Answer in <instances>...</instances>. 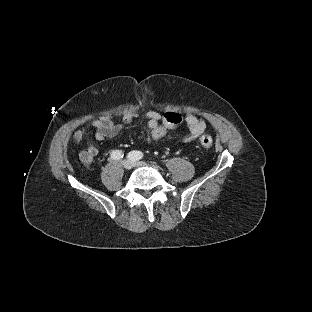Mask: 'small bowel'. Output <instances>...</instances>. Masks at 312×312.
Listing matches in <instances>:
<instances>
[{
  "label": "small bowel",
  "mask_w": 312,
  "mask_h": 312,
  "mask_svg": "<svg viewBox=\"0 0 312 312\" xmlns=\"http://www.w3.org/2000/svg\"><path fill=\"white\" fill-rule=\"evenodd\" d=\"M142 116L147 121L146 128V140L151 143L150 128L154 122L161 120V114L157 111L150 110L144 112L143 114L130 111L123 115L122 122L116 123L109 116H103L98 119H94L91 122V126L95 130V140L101 141L105 138H112L118 135L121 131L123 125L131 123L133 120ZM185 124L189 129V133L185 136L184 142L191 143L197 140L206 130V122L202 118L187 113L185 114ZM98 154V148L94 143H91L86 149L80 152V160L88 169L92 168L93 160Z\"/></svg>",
  "instance_id": "obj_1"
}]
</instances>
